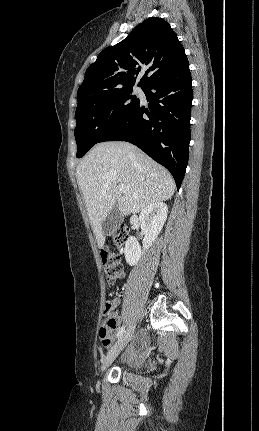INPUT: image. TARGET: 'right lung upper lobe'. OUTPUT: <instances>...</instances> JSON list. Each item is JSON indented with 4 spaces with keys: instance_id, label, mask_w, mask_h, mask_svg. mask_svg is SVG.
I'll return each mask as SVG.
<instances>
[{
    "instance_id": "right-lung-upper-lobe-1",
    "label": "right lung upper lobe",
    "mask_w": 259,
    "mask_h": 431,
    "mask_svg": "<svg viewBox=\"0 0 259 431\" xmlns=\"http://www.w3.org/2000/svg\"><path fill=\"white\" fill-rule=\"evenodd\" d=\"M187 64L184 48L169 23L148 18L123 41L105 48L88 67L78 89V104L93 95L133 87L144 70L138 84L142 89Z\"/></svg>"
}]
</instances>
